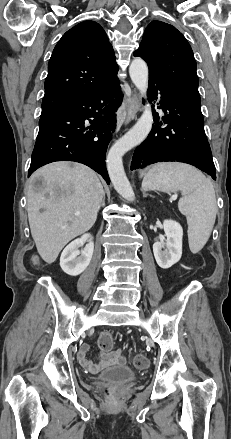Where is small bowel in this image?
<instances>
[{"instance_id": "obj_1", "label": "small bowel", "mask_w": 231, "mask_h": 439, "mask_svg": "<svg viewBox=\"0 0 231 439\" xmlns=\"http://www.w3.org/2000/svg\"><path fill=\"white\" fill-rule=\"evenodd\" d=\"M88 351H89V345L84 344L78 352V360L82 365V367H84L85 369H87L92 373H96L109 366L122 364L124 362V357L122 356L120 350L112 353L102 352L99 361L97 363H94L87 358Z\"/></svg>"}]
</instances>
